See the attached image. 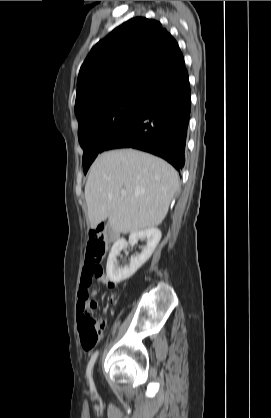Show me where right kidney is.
Returning <instances> with one entry per match:
<instances>
[{
  "mask_svg": "<svg viewBox=\"0 0 271 418\" xmlns=\"http://www.w3.org/2000/svg\"><path fill=\"white\" fill-rule=\"evenodd\" d=\"M142 239H145L147 244L142 248L141 253L131 257L128 266L118 267L116 261L120 251L126 248L128 243L133 245ZM160 239L161 231L155 227L131 233L129 242L125 239H118L113 244L107 259L106 273L108 279L114 283H119L130 278L151 257Z\"/></svg>",
  "mask_w": 271,
  "mask_h": 418,
  "instance_id": "right-kidney-1",
  "label": "right kidney"
}]
</instances>
